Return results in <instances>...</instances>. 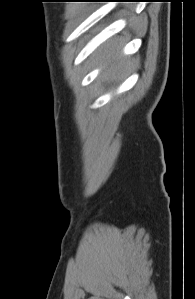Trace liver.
Instances as JSON below:
<instances>
[{"instance_id":"obj_1","label":"liver","mask_w":195,"mask_h":299,"mask_svg":"<svg viewBox=\"0 0 195 299\" xmlns=\"http://www.w3.org/2000/svg\"><path fill=\"white\" fill-rule=\"evenodd\" d=\"M119 48L120 45L116 41H110L98 51L97 60L101 63L108 62V66L103 73L105 78L117 77L122 74L129 65V61L127 60H113Z\"/></svg>"}]
</instances>
